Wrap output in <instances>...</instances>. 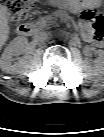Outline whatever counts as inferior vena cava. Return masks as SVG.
I'll return each mask as SVG.
<instances>
[{"label": "inferior vena cava", "mask_w": 104, "mask_h": 137, "mask_svg": "<svg viewBox=\"0 0 104 137\" xmlns=\"http://www.w3.org/2000/svg\"><path fill=\"white\" fill-rule=\"evenodd\" d=\"M47 38H48V34L45 33V32H40V31H38V32H36V33L34 34V40H35V41H38V42L44 41V40H46Z\"/></svg>", "instance_id": "602c4592"}]
</instances>
